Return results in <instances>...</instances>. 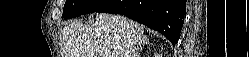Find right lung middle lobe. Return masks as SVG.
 Wrapping results in <instances>:
<instances>
[{
	"mask_svg": "<svg viewBox=\"0 0 249 57\" xmlns=\"http://www.w3.org/2000/svg\"><path fill=\"white\" fill-rule=\"evenodd\" d=\"M108 2L109 0H68L64 5L62 18L70 19L94 12Z\"/></svg>",
	"mask_w": 249,
	"mask_h": 57,
	"instance_id": "obj_1",
	"label": "right lung middle lobe"
}]
</instances>
